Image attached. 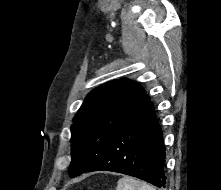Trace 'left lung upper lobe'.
Listing matches in <instances>:
<instances>
[{
  "mask_svg": "<svg viewBox=\"0 0 221 190\" xmlns=\"http://www.w3.org/2000/svg\"><path fill=\"white\" fill-rule=\"evenodd\" d=\"M149 101L145 90L128 79L93 89L73 118L69 175L75 177L88 171L121 126Z\"/></svg>",
  "mask_w": 221,
  "mask_h": 190,
  "instance_id": "left-lung-upper-lobe-1",
  "label": "left lung upper lobe"
}]
</instances>
